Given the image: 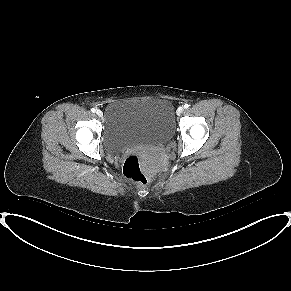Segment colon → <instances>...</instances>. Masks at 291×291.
I'll list each match as a JSON object with an SVG mask.
<instances>
[{
  "label": "colon",
  "instance_id": "colon-1",
  "mask_svg": "<svg viewBox=\"0 0 291 291\" xmlns=\"http://www.w3.org/2000/svg\"><path fill=\"white\" fill-rule=\"evenodd\" d=\"M125 175L143 187L150 185L151 176L143 168V155L135 152L127 156L124 162Z\"/></svg>",
  "mask_w": 291,
  "mask_h": 291
}]
</instances>
